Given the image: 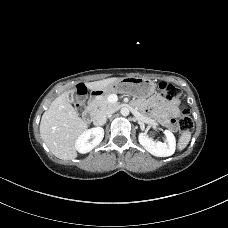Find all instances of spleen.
<instances>
[{"label":"spleen","instance_id":"obj_1","mask_svg":"<svg viewBox=\"0 0 228 228\" xmlns=\"http://www.w3.org/2000/svg\"><path fill=\"white\" fill-rule=\"evenodd\" d=\"M191 139V132L189 130H184L178 141V149L183 150L189 143Z\"/></svg>","mask_w":228,"mask_h":228}]
</instances>
